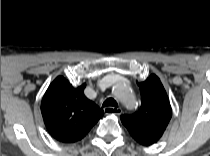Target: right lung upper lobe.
<instances>
[{
    "mask_svg": "<svg viewBox=\"0 0 210 156\" xmlns=\"http://www.w3.org/2000/svg\"><path fill=\"white\" fill-rule=\"evenodd\" d=\"M86 84L73 87L57 77L48 87L41 112L49 134L63 143L81 140L103 116V110L84 95Z\"/></svg>",
    "mask_w": 210,
    "mask_h": 156,
    "instance_id": "obj_1",
    "label": "right lung upper lobe"
}]
</instances>
